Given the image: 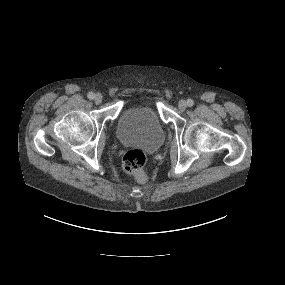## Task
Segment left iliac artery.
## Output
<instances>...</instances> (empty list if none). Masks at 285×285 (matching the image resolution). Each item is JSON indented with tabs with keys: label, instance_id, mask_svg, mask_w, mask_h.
I'll return each mask as SVG.
<instances>
[{
	"label": "left iliac artery",
	"instance_id": "44dca946",
	"mask_svg": "<svg viewBox=\"0 0 285 285\" xmlns=\"http://www.w3.org/2000/svg\"><path fill=\"white\" fill-rule=\"evenodd\" d=\"M187 105H188L189 107H192V106L194 105V101H193L192 99H188V100H187Z\"/></svg>",
	"mask_w": 285,
	"mask_h": 285
}]
</instances>
